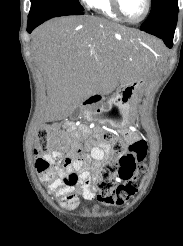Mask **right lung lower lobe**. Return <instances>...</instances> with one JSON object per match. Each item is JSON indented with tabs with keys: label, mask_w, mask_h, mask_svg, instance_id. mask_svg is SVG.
<instances>
[{
	"label": "right lung lower lobe",
	"mask_w": 183,
	"mask_h": 246,
	"mask_svg": "<svg viewBox=\"0 0 183 246\" xmlns=\"http://www.w3.org/2000/svg\"><path fill=\"white\" fill-rule=\"evenodd\" d=\"M82 11H74L66 14H62L60 16H65V15H82ZM45 20H40V21H32L28 20V25H27V31L28 33H31L34 28H36L38 25L42 24Z\"/></svg>",
	"instance_id": "obj_1"
}]
</instances>
